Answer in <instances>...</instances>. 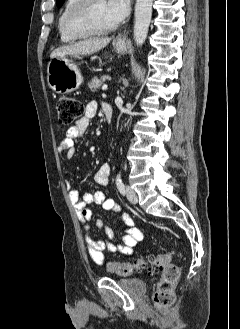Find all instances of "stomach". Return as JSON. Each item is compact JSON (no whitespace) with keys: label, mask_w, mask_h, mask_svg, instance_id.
I'll return each instance as SVG.
<instances>
[{"label":"stomach","mask_w":240,"mask_h":329,"mask_svg":"<svg viewBox=\"0 0 240 329\" xmlns=\"http://www.w3.org/2000/svg\"><path fill=\"white\" fill-rule=\"evenodd\" d=\"M117 53L127 51L125 43L114 41ZM74 57H54L47 66V81L49 87L57 94H66L75 91L83 82L81 72L74 62Z\"/></svg>","instance_id":"0dacf381"}]
</instances>
